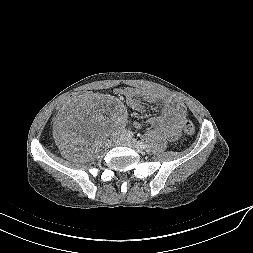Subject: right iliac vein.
<instances>
[{
  "instance_id": "63e3f726",
  "label": "right iliac vein",
  "mask_w": 253,
  "mask_h": 253,
  "mask_svg": "<svg viewBox=\"0 0 253 253\" xmlns=\"http://www.w3.org/2000/svg\"><path fill=\"white\" fill-rule=\"evenodd\" d=\"M127 136L125 134H122L118 137L117 142L119 144H122Z\"/></svg>"
}]
</instances>
